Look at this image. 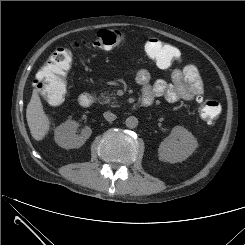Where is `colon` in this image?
Wrapping results in <instances>:
<instances>
[{
    "label": "colon",
    "mask_w": 245,
    "mask_h": 245,
    "mask_svg": "<svg viewBox=\"0 0 245 245\" xmlns=\"http://www.w3.org/2000/svg\"><path fill=\"white\" fill-rule=\"evenodd\" d=\"M124 35L119 30H102L90 42L81 40L73 47L86 46L92 43L101 49H111L120 45ZM145 53L160 67H169L180 61L177 49L159 39H148L144 45ZM71 56L67 48L57 49L43 66L40 75L34 79L35 87L40 91L43 99L49 104H60L67 95L66 76L70 68ZM199 114L208 124H213L220 113V104L213 99L199 100Z\"/></svg>",
    "instance_id": "1"
}]
</instances>
